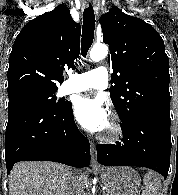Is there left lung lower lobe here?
I'll use <instances>...</instances> for the list:
<instances>
[{
  "instance_id": "1",
  "label": "left lung lower lobe",
  "mask_w": 178,
  "mask_h": 195,
  "mask_svg": "<svg viewBox=\"0 0 178 195\" xmlns=\"http://www.w3.org/2000/svg\"><path fill=\"white\" fill-rule=\"evenodd\" d=\"M171 121L140 117L122 124L117 144H98L97 160L105 166H138L167 177L171 153Z\"/></svg>"
}]
</instances>
